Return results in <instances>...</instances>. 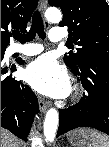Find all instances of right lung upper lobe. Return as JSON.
I'll list each match as a JSON object with an SVG mask.
<instances>
[{
  "instance_id": "right-lung-upper-lobe-1",
  "label": "right lung upper lobe",
  "mask_w": 109,
  "mask_h": 147,
  "mask_svg": "<svg viewBox=\"0 0 109 147\" xmlns=\"http://www.w3.org/2000/svg\"><path fill=\"white\" fill-rule=\"evenodd\" d=\"M36 6L37 0H1V48L6 49L9 45L11 31H26Z\"/></svg>"
}]
</instances>
